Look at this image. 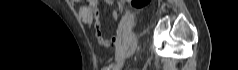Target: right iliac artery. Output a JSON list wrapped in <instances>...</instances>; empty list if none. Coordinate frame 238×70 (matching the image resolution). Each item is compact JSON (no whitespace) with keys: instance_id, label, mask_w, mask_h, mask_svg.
Returning a JSON list of instances; mask_svg holds the SVG:
<instances>
[{"instance_id":"obj_1","label":"right iliac artery","mask_w":238,"mask_h":70,"mask_svg":"<svg viewBox=\"0 0 238 70\" xmlns=\"http://www.w3.org/2000/svg\"><path fill=\"white\" fill-rule=\"evenodd\" d=\"M135 47H136V43H134V45L132 46V48H131V51H130V52H133V51H134V49H135ZM112 67H113V64H110L108 67H106V68H105V70H110Z\"/></svg>"}]
</instances>
